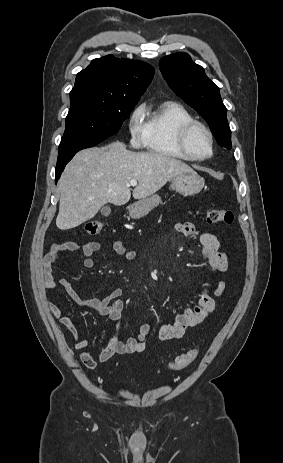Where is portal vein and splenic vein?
Segmentation results:
<instances>
[{"label": "portal vein and splenic vein", "mask_w": 283, "mask_h": 463, "mask_svg": "<svg viewBox=\"0 0 283 463\" xmlns=\"http://www.w3.org/2000/svg\"><path fill=\"white\" fill-rule=\"evenodd\" d=\"M130 185L133 186V187L136 186V185H137V181L134 180V179L131 180V181H130Z\"/></svg>", "instance_id": "18ae733b"}]
</instances>
